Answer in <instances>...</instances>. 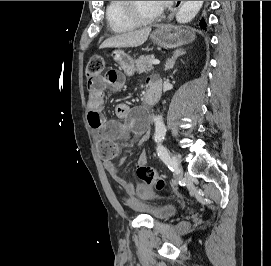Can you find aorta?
<instances>
[{
	"label": "aorta",
	"instance_id": "obj_1",
	"mask_svg": "<svg viewBox=\"0 0 271 266\" xmlns=\"http://www.w3.org/2000/svg\"><path fill=\"white\" fill-rule=\"evenodd\" d=\"M204 1H185L176 14L178 23L190 22L199 12ZM155 138L163 139L166 134V127L161 116L154 118Z\"/></svg>",
	"mask_w": 271,
	"mask_h": 266
}]
</instances>
